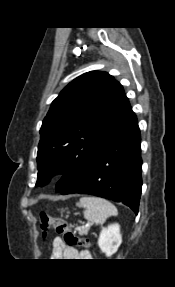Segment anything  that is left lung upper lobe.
<instances>
[{
    "label": "left lung upper lobe",
    "mask_w": 175,
    "mask_h": 287,
    "mask_svg": "<svg viewBox=\"0 0 175 287\" xmlns=\"http://www.w3.org/2000/svg\"><path fill=\"white\" fill-rule=\"evenodd\" d=\"M134 115L122 85L106 72L74 79L52 102L38 145L37 185L63 173L56 192L77 180L101 145Z\"/></svg>",
    "instance_id": "1"
}]
</instances>
